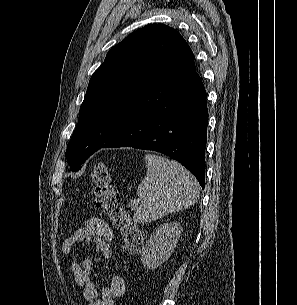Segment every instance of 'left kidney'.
I'll list each match as a JSON object with an SVG mask.
<instances>
[{
	"mask_svg": "<svg viewBox=\"0 0 297 305\" xmlns=\"http://www.w3.org/2000/svg\"><path fill=\"white\" fill-rule=\"evenodd\" d=\"M181 232L182 227L176 222L162 224L156 229L141 254L143 266L154 270L165 262L174 252Z\"/></svg>",
	"mask_w": 297,
	"mask_h": 305,
	"instance_id": "5707ae66",
	"label": "left kidney"
}]
</instances>
